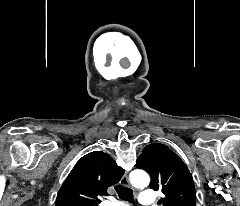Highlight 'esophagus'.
<instances>
[{"mask_svg": "<svg viewBox=\"0 0 240 206\" xmlns=\"http://www.w3.org/2000/svg\"><path fill=\"white\" fill-rule=\"evenodd\" d=\"M120 184H121L122 186L129 187L128 176H127L126 173H125V174L123 175V177L121 178Z\"/></svg>", "mask_w": 240, "mask_h": 206, "instance_id": "34e87169", "label": "esophagus"}]
</instances>
